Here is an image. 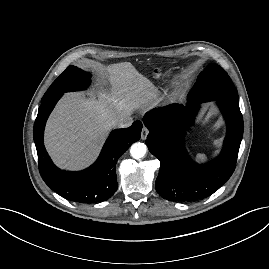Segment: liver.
Returning a JSON list of instances; mask_svg holds the SVG:
<instances>
[{
  "label": "liver",
  "mask_w": 269,
  "mask_h": 269,
  "mask_svg": "<svg viewBox=\"0 0 269 269\" xmlns=\"http://www.w3.org/2000/svg\"><path fill=\"white\" fill-rule=\"evenodd\" d=\"M110 93L97 97L67 93L45 129V146L60 168L80 170L98 156L108 132L134 110L152 104L158 92L129 62L104 67Z\"/></svg>",
  "instance_id": "6515ba94"
}]
</instances>
